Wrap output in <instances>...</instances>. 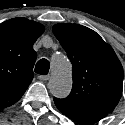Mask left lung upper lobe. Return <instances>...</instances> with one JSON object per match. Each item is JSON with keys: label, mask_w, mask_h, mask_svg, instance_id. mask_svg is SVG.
<instances>
[{"label": "left lung upper lobe", "mask_w": 125, "mask_h": 125, "mask_svg": "<svg viewBox=\"0 0 125 125\" xmlns=\"http://www.w3.org/2000/svg\"><path fill=\"white\" fill-rule=\"evenodd\" d=\"M53 33L73 66V87L64 99L54 98L66 116L111 113L122 96L123 67L112 47L95 31L78 24H56Z\"/></svg>", "instance_id": "left-lung-upper-lobe-1"}]
</instances>
